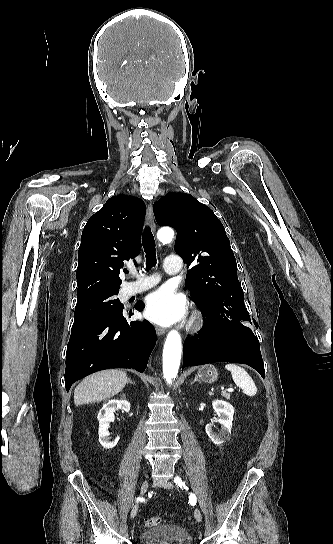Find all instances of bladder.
<instances>
[{
    "mask_svg": "<svg viewBox=\"0 0 333 544\" xmlns=\"http://www.w3.org/2000/svg\"><path fill=\"white\" fill-rule=\"evenodd\" d=\"M139 544H193L190 533L176 525H164L141 533Z\"/></svg>",
    "mask_w": 333,
    "mask_h": 544,
    "instance_id": "31cf9c89",
    "label": "bladder"
}]
</instances>
